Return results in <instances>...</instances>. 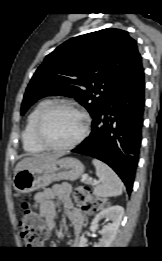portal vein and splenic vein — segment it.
I'll return each mask as SVG.
<instances>
[{"label": "portal vein and splenic vein", "instance_id": "1", "mask_svg": "<svg viewBox=\"0 0 162 261\" xmlns=\"http://www.w3.org/2000/svg\"><path fill=\"white\" fill-rule=\"evenodd\" d=\"M85 180H88L91 184H96V183H97L96 181H94V182L92 183V179H91V178H88V175H87V174H84V175L82 176V179H81L82 182H84Z\"/></svg>", "mask_w": 162, "mask_h": 261}]
</instances>
